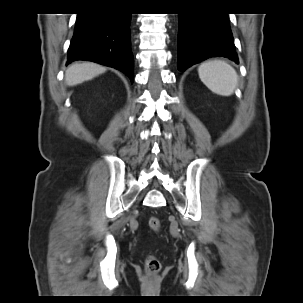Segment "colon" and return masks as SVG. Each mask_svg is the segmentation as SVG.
I'll return each instance as SVG.
<instances>
[{"label": "colon", "mask_w": 303, "mask_h": 303, "mask_svg": "<svg viewBox=\"0 0 303 303\" xmlns=\"http://www.w3.org/2000/svg\"><path fill=\"white\" fill-rule=\"evenodd\" d=\"M149 226L151 229L157 231L160 228V220L157 217H151L149 220ZM145 269L151 276L156 275L160 270V262L156 255L148 254L145 259Z\"/></svg>", "instance_id": "5ec220e1"}]
</instances>
